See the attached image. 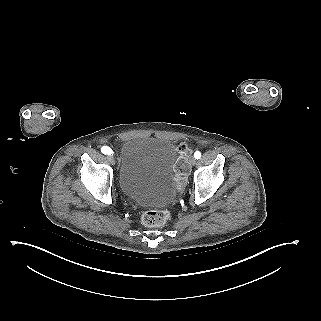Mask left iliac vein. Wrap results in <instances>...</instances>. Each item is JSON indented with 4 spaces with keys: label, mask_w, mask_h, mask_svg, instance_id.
Returning a JSON list of instances; mask_svg holds the SVG:
<instances>
[{
    "label": "left iliac vein",
    "mask_w": 321,
    "mask_h": 321,
    "mask_svg": "<svg viewBox=\"0 0 321 321\" xmlns=\"http://www.w3.org/2000/svg\"><path fill=\"white\" fill-rule=\"evenodd\" d=\"M189 162L191 165H195L197 163V160L195 157L191 156L190 159H189Z\"/></svg>",
    "instance_id": "left-iliac-vein-1"
}]
</instances>
